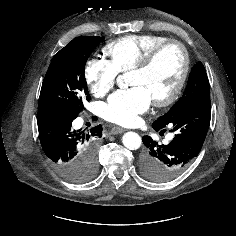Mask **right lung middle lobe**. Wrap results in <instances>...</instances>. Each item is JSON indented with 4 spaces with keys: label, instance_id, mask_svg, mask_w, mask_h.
Returning <instances> with one entry per match:
<instances>
[{
    "label": "right lung middle lobe",
    "instance_id": "dd1d6c3e",
    "mask_svg": "<svg viewBox=\"0 0 236 236\" xmlns=\"http://www.w3.org/2000/svg\"><path fill=\"white\" fill-rule=\"evenodd\" d=\"M103 41L96 36L73 39L52 59L42 83L38 110H57L78 115L83 101L90 100L84 76L86 61L93 49ZM97 170V158L81 168L78 182L92 178Z\"/></svg>",
    "mask_w": 236,
    "mask_h": 236
}]
</instances>
